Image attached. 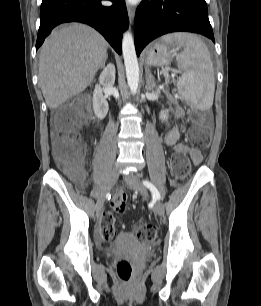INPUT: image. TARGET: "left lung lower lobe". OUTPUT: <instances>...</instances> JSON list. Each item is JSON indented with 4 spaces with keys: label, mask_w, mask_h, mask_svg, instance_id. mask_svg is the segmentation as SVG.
<instances>
[{
    "label": "left lung lower lobe",
    "mask_w": 261,
    "mask_h": 306,
    "mask_svg": "<svg viewBox=\"0 0 261 306\" xmlns=\"http://www.w3.org/2000/svg\"><path fill=\"white\" fill-rule=\"evenodd\" d=\"M178 31L199 33L214 42L205 0L142 1L134 22L137 56L150 41Z\"/></svg>",
    "instance_id": "0a47b994"
}]
</instances>
